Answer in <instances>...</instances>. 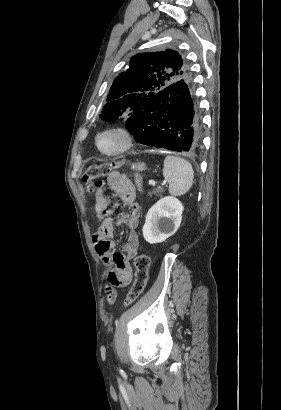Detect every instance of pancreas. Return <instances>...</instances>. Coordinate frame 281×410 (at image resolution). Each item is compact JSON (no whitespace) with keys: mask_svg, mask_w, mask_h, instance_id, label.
Segmentation results:
<instances>
[{"mask_svg":"<svg viewBox=\"0 0 281 410\" xmlns=\"http://www.w3.org/2000/svg\"><path fill=\"white\" fill-rule=\"evenodd\" d=\"M162 192H163V189H161V188H156L152 193H153L154 195H160ZM149 195H151V194L149 193Z\"/></svg>","mask_w":281,"mask_h":410,"instance_id":"pancreas-1","label":"pancreas"}]
</instances>
